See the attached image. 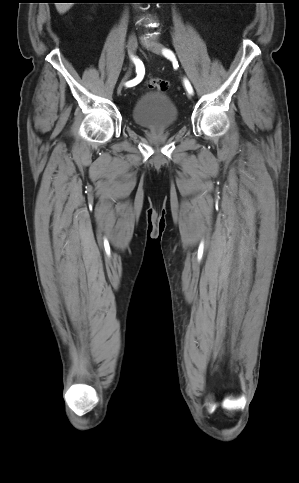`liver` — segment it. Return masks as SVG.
Wrapping results in <instances>:
<instances>
[{"label": "liver", "instance_id": "6515ba94", "mask_svg": "<svg viewBox=\"0 0 299 483\" xmlns=\"http://www.w3.org/2000/svg\"><path fill=\"white\" fill-rule=\"evenodd\" d=\"M73 3H55L56 9L59 13H65L68 11Z\"/></svg>", "mask_w": 299, "mask_h": 483}]
</instances>
